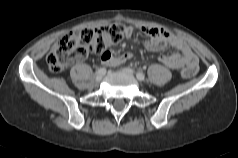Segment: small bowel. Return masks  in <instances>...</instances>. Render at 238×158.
Returning <instances> with one entry per match:
<instances>
[{
	"label": "small bowel",
	"instance_id": "1",
	"mask_svg": "<svg viewBox=\"0 0 238 158\" xmlns=\"http://www.w3.org/2000/svg\"><path fill=\"white\" fill-rule=\"evenodd\" d=\"M141 32L147 36L144 45L152 51H161L167 46H172L178 52L164 54L159 57V61L172 69H179L185 66H197L198 58L193 53L188 44L177 35L156 27L142 26ZM132 58V54L127 52L122 55H114L110 51H104L101 55L102 62L110 67L124 64Z\"/></svg>",
	"mask_w": 238,
	"mask_h": 158
}]
</instances>
